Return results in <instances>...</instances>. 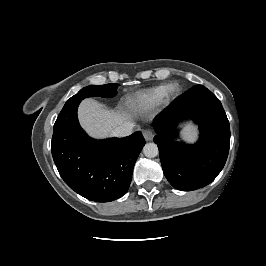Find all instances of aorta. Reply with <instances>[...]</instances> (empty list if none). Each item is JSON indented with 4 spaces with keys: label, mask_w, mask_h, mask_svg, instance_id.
Returning a JSON list of instances; mask_svg holds the SVG:
<instances>
[{
    "label": "aorta",
    "mask_w": 266,
    "mask_h": 266,
    "mask_svg": "<svg viewBox=\"0 0 266 266\" xmlns=\"http://www.w3.org/2000/svg\"><path fill=\"white\" fill-rule=\"evenodd\" d=\"M143 153L148 158H154L158 155V147L155 143H147L143 147Z\"/></svg>",
    "instance_id": "obj_1"
}]
</instances>
